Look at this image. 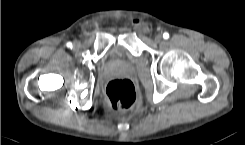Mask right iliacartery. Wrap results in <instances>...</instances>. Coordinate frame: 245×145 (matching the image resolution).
<instances>
[{
	"label": "right iliac artery",
	"mask_w": 245,
	"mask_h": 145,
	"mask_svg": "<svg viewBox=\"0 0 245 145\" xmlns=\"http://www.w3.org/2000/svg\"><path fill=\"white\" fill-rule=\"evenodd\" d=\"M67 47H68V48H72V43H71V42H68V43H67Z\"/></svg>",
	"instance_id": "82829eb1"
}]
</instances>
